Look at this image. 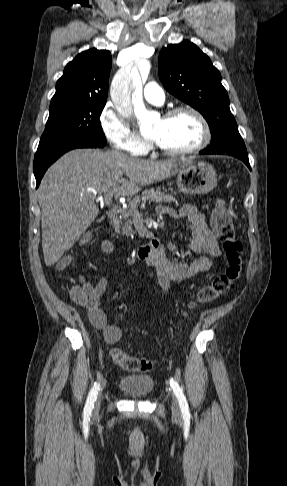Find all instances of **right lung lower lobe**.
Instances as JSON below:
<instances>
[{
	"label": "right lung lower lobe",
	"mask_w": 287,
	"mask_h": 486,
	"mask_svg": "<svg viewBox=\"0 0 287 486\" xmlns=\"http://www.w3.org/2000/svg\"><path fill=\"white\" fill-rule=\"evenodd\" d=\"M99 147L100 146L92 145V144H75V145H68L65 147L52 149L48 151L37 152L35 154L34 164H33V170L36 178L37 187L39 186L40 181L47 168L65 152L75 148H99Z\"/></svg>",
	"instance_id": "98d812e1"
}]
</instances>
